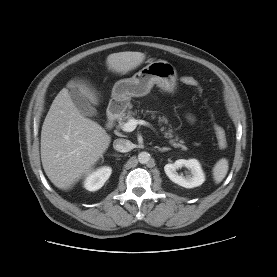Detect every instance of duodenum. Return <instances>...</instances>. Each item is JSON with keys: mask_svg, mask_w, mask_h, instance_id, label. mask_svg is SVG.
<instances>
[{"mask_svg": "<svg viewBox=\"0 0 277 277\" xmlns=\"http://www.w3.org/2000/svg\"><path fill=\"white\" fill-rule=\"evenodd\" d=\"M121 105L117 102H114L110 105L108 109V120H107V127L111 128L115 121L119 118L121 114Z\"/></svg>", "mask_w": 277, "mask_h": 277, "instance_id": "410a0bca", "label": "duodenum"}]
</instances>
